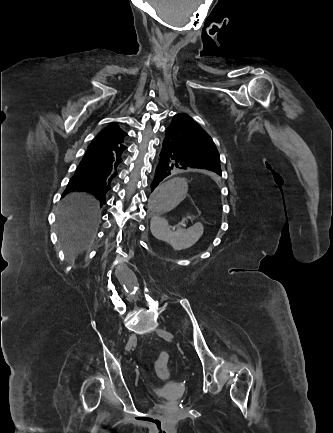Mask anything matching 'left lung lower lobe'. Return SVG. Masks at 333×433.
<instances>
[{"label": "left lung lower lobe", "instance_id": "left-lung-lower-lobe-1", "mask_svg": "<svg viewBox=\"0 0 333 433\" xmlns=\"http://www.w3.org/2000/svg\"><path fill=\"white\" fill-rule=\"evenodd\" d=\"M193 169H205L214 172L213 170L197 163L196 161L189 159L181 153L174 151L170 146V142L167 138H164L162 144V150L160 153V160L155 171V177L151 184V191L156 190L160 186V182L169 176L172 172L177 170H193Z\"/></svg>", "mask_w": 333, "mask_h": 433}]
</instances>
